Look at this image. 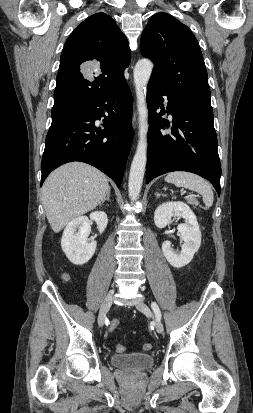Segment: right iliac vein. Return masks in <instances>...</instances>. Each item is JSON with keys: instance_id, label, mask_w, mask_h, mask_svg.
I'll use <instances>...</instances> for the list:
<instances>
[{"instance_id": "1", "label": "right iliac vein", "mask_w": 253, "mask_h": 413, "mask_svg": "<svg viewBox=\"0 0 253 413\" xmlns=\"http://www.w3.org/2000/svg\"><path fill=\"white\" fill-rule=\"evenodd\" d=\"M113 297H114V290H111V291L107 294V296L105 297V299H104V301H103V303H102V305H101V308H100V311H99V315H98V325H99L100 327H102V326L104 325L105 316H106V313L108 312V310H109L110 307H111Z\"/></svg>"}]
</instances>
